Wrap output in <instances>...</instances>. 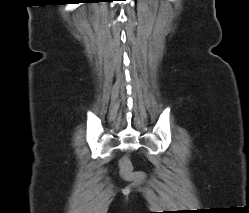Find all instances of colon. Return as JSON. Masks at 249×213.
<instances>
[{
    "label": "colon",
    "mask_w": 249,
    "mask_h": 213,
    "mask_svg": "<svg viewBox=\"0 0 249 213\" xmlns=\"http://www.w3.org/2000/svg\"><path fill=\"white\" fill-rule=\"evenodd\" d=\"M120 173L124 178H134L140 177L141 174L137 172H133L130 159L128 157H124L120 161Z\"/></svg>",
    "instance_id": "obj_1"
}]
</instances>
